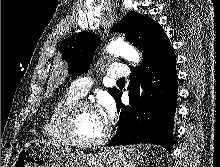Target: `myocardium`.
I'll use <instances>...</instances> for the list:
<instances>
[{"label": "myocardium", "instance_id": "myocardium-1", "mask_svg": "<svg viewBox=\"0 0 220 167\" xmlns=\"http://www.w3.org/2000/svg\"><path fill=\"white\" fill-rule=\"evenodd\" d=\"M82 108L94 109V106L86 100L78 99L71 103L64 111L60 124L64 136L70 144L81 148H95L104 145L111 135V129L109 126L106 127L103 135L97 140L84 141L77 137L75 132L76 117L79 110Z\"/></svg>", "mask_w": 220, "mask_h": 167}]
</instances>
